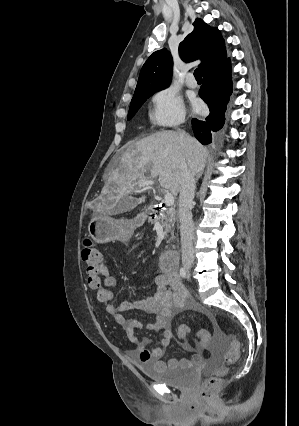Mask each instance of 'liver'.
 Wrapping results in <instances>:
<instances>
[{
  "label": "liver",
  "mask_w": 299,
  "mask_h": 426,
  "mask_svg": "<svg viewBox=\"0 0 299 426\" xmlns=\"http://www.w3.org/2000/svg\"><path fill=\"white\" fill-rule=\"evenodd\" d=\"M207 149L195 138L186 136L184 141L173 131L155 133L130 144L120 157L102 190L101 210L108 207L115 211H128L145 201L130 195L143 181L159 177L160 186L174 196L179 193L181 162L186 163L194 174L200 175L205 167Z\"/></svg>",
  "instance_id": "liver-1"
}]
</instances>
